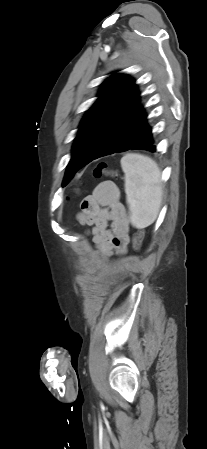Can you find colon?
<instances>
[{
    "instance_id": "colon-1",
    "label": "colon",
    "mask_w": 207,
    "mask_h": 449,
    "mask_svg": "<svg viewBox=\"0 0 207 449\" xmlns=\"http://www.w3.org/2000/svg\"><path fill=\"white\" fill-rule=\"evenodd\" d=\"M93 175L95 178H101V177H112V178H118V172L116 170L110 169L105 162H99L94 170ZM144 231L139 230L133 235L132 243L133 248L135 250H139L142 245V241L144 238Z\"/></svg>"
}]
</instances>
